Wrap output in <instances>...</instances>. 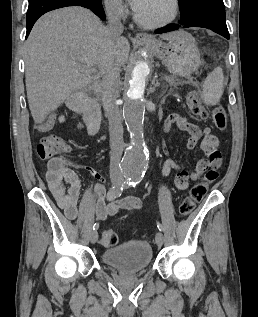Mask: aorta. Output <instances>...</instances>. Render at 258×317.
I'll list each match as a JSON object with an SVG mask.
<instances>
[{
  "instance_id": "1",
  "label": "aorta",
  "mask_w": 258,
  "mask_h": 317,
  "mask_svg": "<svg viewBox=\"0 0 258 317\" xmlns=\"http://www.w3.org/2000/svg\"><path fill=\"white\" fill-rule=\"evenodd\" d=\"M148 74V64L144 61L137 62L132 71L123 105V118L130 133L131 142L122 159L121 170L125 178L135 181L144 176L148 165L143 133L145 113L143 95Z\"/></svg>"
}]
</instances>
